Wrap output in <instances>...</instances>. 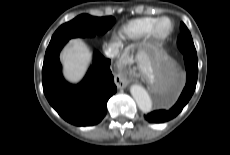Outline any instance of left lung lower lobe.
Segmentation results:
<instances>
[{
    "label": "left lung lower lobe",
    "mask_w": 230,
    "mask_h": 155,
    "mask_svg": "<svg viewBox=\"0 0 230 155\" xmlns=\"http://www.w3.org/2000/svg\"><path fill=\"white\" fill-rule=\"evenodd\" d=\"M186 67V85L178 101L169 110H156L145 115V119L150 123H163L176 117L192 97L197 83L198 59L196 50L184 51Z\"/></svg>",
    "instance_id": "obj_1"
}]
</instances>
